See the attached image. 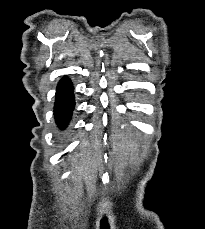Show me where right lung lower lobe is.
Masks as SVG:
<instances>
[{
  "label": "right lung lower lobe",
  "mask_w": 205,
  "mask_h": 229,
  "mask_svg": "<svg viewBox=\"0 0 205 229\" xmlns=\"http://www.w3.org/2000/svg\"><path fill=\"white\" fill-rule=\"evenodd\" d=\"M75 105L73 86L69 78L64 77L57 86L54 115L56 123L64 129L70 121Z\"/></svg>",
  "instance_id": "right-lung-lower-lobe-1"
}]
</instances>
